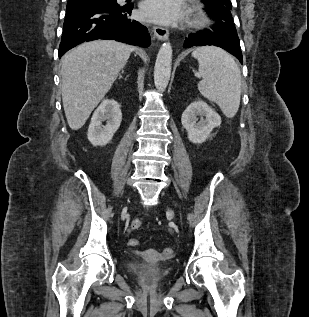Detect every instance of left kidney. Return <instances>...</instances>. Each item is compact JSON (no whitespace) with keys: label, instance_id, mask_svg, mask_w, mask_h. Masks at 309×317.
<instances>
[{"label":"left kidney","instance_id":"obj_1","mask_svg":"<svg viewBox=\"0 0 309 317\" xmlns=\"http://www.w3.org/2000/svg\"><path fill=\"white\" fill-rule=\"evenodd\" d=\"M205 116L197 121V116ZM181 122L187 130L188 139L194 144H201L210 136L212 130L219 127L221 117L202 100L192 102L182 114Z\"/></svg>","mask_w":309,"mask_h":317}]
</instances>
